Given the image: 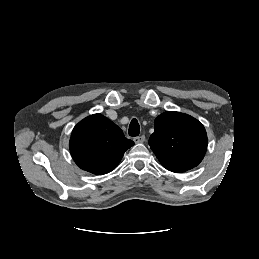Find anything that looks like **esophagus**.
I'll return each mask as SVG.
<instances>
[{"instance_id":"1","label":"esophagus","mask_w":259,"mask_h":259,"mask_svg":"<svg viewBox=\"0 0 259 259\" xmlns=\"http://www.w3.org/2000/svg\"><path fill=\"white\" fill-rule=\"evenodd\" d=\"M144 141H145V136H143V135L137 136L134 138L135 143H143Z\"/></svg>"}]
</instances>
